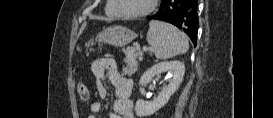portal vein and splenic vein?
Masks as SVG:
<instances>
[{
    "instance_id": "1",
    "label": "portal vein and splenic vein",
    "mask_w": 273,
    "mask_h": 118,
    "mask_svg": "<svg viewBox=\"0 0 273 118\" xmlns=\"http://www.w3.org/2000/svg\"><path fill=\"white\" fill-rule=\"evenodd\" d=\"M143 50L144 51H148V50H151V49L145 47V48H143Z\"/></svg>"
}]
</instances>
